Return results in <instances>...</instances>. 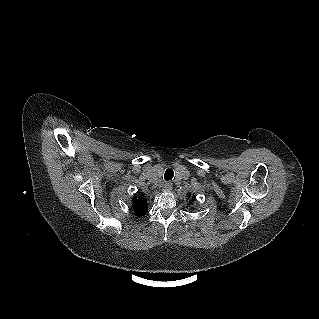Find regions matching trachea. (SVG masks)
I'll list each match as a JSON object with an SVG mask.
<instances>
[{
  "label": "trachea",
  "mask_w": 319,
  "mask_h": 319,
  "mask_svg": "<svg viewBox=\"0 0 319 319\" xmlns=\"http://www.w3.org/2000/svg\"><path fill=\"white\" fill-rule=\"evenodd\" d=\"M173 176H174L173 170L172 169H167L165 174H164V179L167 180V181H170V180H172Z\"/></svg>",
  "instance_id": "1"
}]
</instances>
